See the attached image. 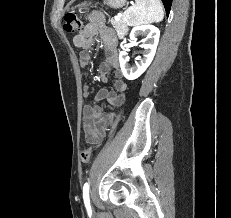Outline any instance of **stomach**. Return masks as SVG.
<instances>
[{"label": "stomach", "instance_id": "1", "mask_svg": "<svg viewBox=\"0 0 231 218\" xmlns=\"http://www.w3.org/2000/svg\"><path fill=\"white\" fill-rule=\"evenodd\" d=\"M127 0H104V3L114 9L122 8Z\"/></svg>", "mask_w": 231, "mask_h": 218}]
</instances>
